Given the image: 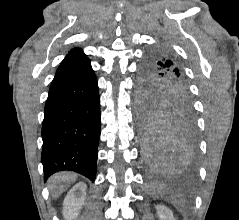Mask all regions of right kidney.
I'll return each instance as SVG.
<instances>
[{"label": "right kidney", "instance_id": "ca27d5eb", "mask_svg": "<svg viewBox=\"0 0 239 220\" xmlns=\"http://www.w3.org/2000/svg\"><path fill=\"white\" fill-rule=\"evenodd\" d=\"M86 194V184H76L64 199L63 216L65 220H75L79 215V210L84 203Z\"/></svg>", "mask_w": 239, "mask_h": 220}]
</instances>
